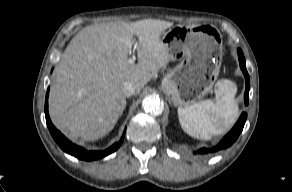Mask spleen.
I'll use <instances>...</instances> for the list:
<instances>
[{"label":"spleen","instance_id":"3e777b00","mask_svg":"<svg viewBox=\"0 0 292 192\" xmlns=\"http://www.w3.org/2000/svg\"><path fill=\"white\" fill-rule=\"evenodd\" d=\"M214 92V100H203L178 108L179 122L188 135L210 140L213 135L227 132L237 120L239 110L235 102L236 84L228 79H221L215 84Z\"/></svg>","mask_w":292,"mask_h":192}]
</instances>
